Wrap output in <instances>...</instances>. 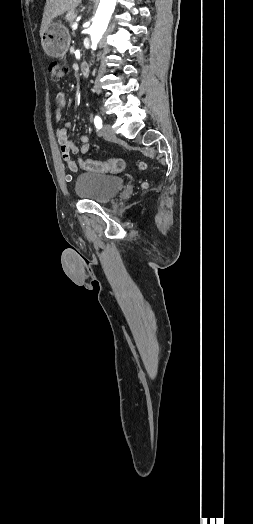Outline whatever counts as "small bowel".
Returning a JSON list of instances; mask_svg holds the SVG:
<instances>
[{"label": "small bowel", "mask_w": 253, "mask_h": 524, "mask_svg": "<svg viewBox=\"0 0 253 524\" xmlns=\"http://www.w3.org/2000/svg\"><path fill=\"white\" fill-rule=\"evenodd\" d=\"M56 102L58 105V108L56 110L55 118L57 121L61 120L62 118V111L63 108L67 104L66 95L63 92H58L56 94ZM69 123H65L64 126L60 127L56 131L58 143L60 145V151L63 160L68 165L69 169L72 171H77L79 169L78 164L72 159L73 154H77L81 152L82 154H86L90 151V145H89V137L87 134L83 133L80 135V142L81 145L78 147L73 141L69 140L68 134H67V128L69 127Z\"/></svg>", "instance_id": "c3829d8e"}]
</instances>
